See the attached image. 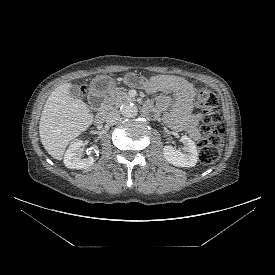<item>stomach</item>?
Returning a JSON list of instances; mask_svg holds the SVG:
<instances>
[{"instance_id":"0dacf381","label":"stomach","mask_w":275,"mask_h":275,"mask_svg":"<svg viewBox=\"0 0 275 275\" xmlns=\"http://www.w3.org/2000/svg\"><path fill=\"white\" fill-rule=\"evenodd\" d=\"M114 88V80L105 75L96 76L90 83V89L95 95H105L111 93Z\"/></svg>"}]
</instances>
